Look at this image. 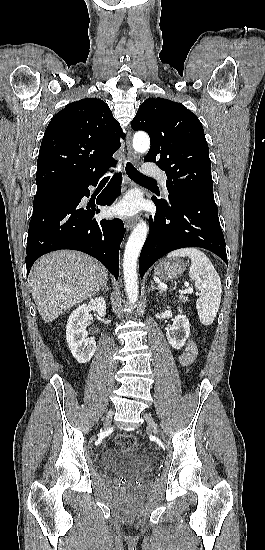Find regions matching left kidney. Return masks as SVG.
Returning <instances> with one entry per match:
<instances>
[{
    "mask_svg": "<svg viewBox=\"0 0 265 550\" xmlns=\"http://www.w3.org/2000/svg\"><path fill=\"white\" fill-rule=\"evenodd\" d=\"M178 311L180 314L173 319L172 326H170L166 332L168 342L175 349L182 348L190 334L188 318L183 314L180 307H178Z\"/></svg>",
    "mask_w": 265,
    "mask_h": 550,
    "instance_id": "left-kidney-1",
    "label": "left kidney"
}]
</instances>
